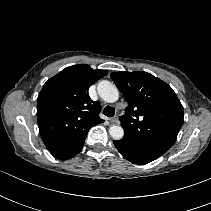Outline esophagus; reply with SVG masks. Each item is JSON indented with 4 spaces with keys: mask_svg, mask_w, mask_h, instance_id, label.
Returning <instances> with one entry per match:
<instances>
[{
    "mask_svg": "<svg viewBox=\"0 0 211 211\" xmlns=\"http://www.w3.org/2000/svg\"><path fill=\"white\" fill-rule=\"evenodd\" d=\"M110 122L111 123H119V119H118V117H113L110 119Z\"/></svg>",
    "mask_w": 211,
    "mask_h": 211,
    "instance_id": "obj_1",
    "label": "esophagus"
}]
</instances>
